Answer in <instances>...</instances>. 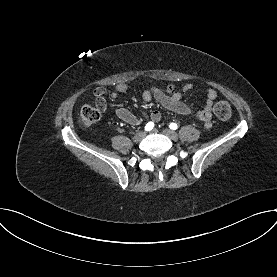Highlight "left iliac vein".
Wrapping results in <instances>:
<instances>
[{"label": "left iliac vein", "instance_id": "obj_1", "mask_svg": "<svg viewBox=\"0 0 277 277\" xmlns=\"http://www.w3.org/2000/svg\"><path fill=\"white\" fill-rule=\"evenodd\" d=\"M155 131V130H153ZM163 133L165 135H167L171 140L173 141H177L178 140V135L176 132H174L173 130H170V129H164L163 130Z\"/></svg>", "mask_w": 277, "mask_h": 277}]
</instances>
